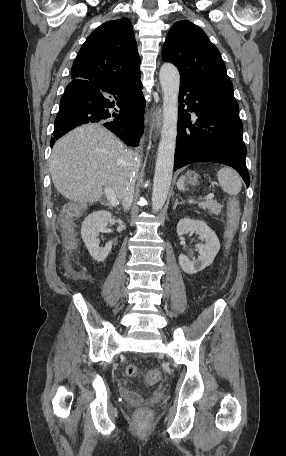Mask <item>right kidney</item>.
<instances>
[{"mask_svg":"<svg viewBox=\"0 0 286 456\" xmlns=\"http://www.w3.org/2000/svg\"><path fill=\"white\" fill-rule=\"evenodd\" d=\"M112 214L108 211L101 210L95 211L88 215L81 227V236L87 247L90 255L94 260L98 262H103L112 248V241L106 243L104 247H99V231L104 229L109 220L111 219Z\"/></svg>","mask_w":286,"mask_h":456,"instance_id":"ca27d5eb","label":"right kidney"}]
</instances>
